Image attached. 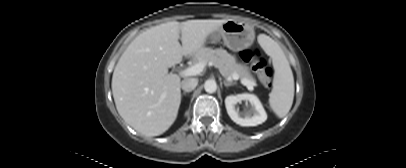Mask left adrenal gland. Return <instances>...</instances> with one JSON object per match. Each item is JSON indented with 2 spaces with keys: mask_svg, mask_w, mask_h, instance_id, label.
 <instances>
[{
  "mask_svg": "<svg viewBox=\"0 0 406 168\" xmlns=\"http://www.w3.org/2000/svg\"><path fill=\"white\" fill-rule=\"evenodd\" d=\"M223 83H224V86L225 87H229V86H232V85H236V83H234V82H228V81H223Z\"/></svg>",
  "mask_w": 406,
  "mask_h": 168,
  "instance_id": "left-adrenal-gland-1",
  "label": "left adrenal gland"
}]
</instances>
